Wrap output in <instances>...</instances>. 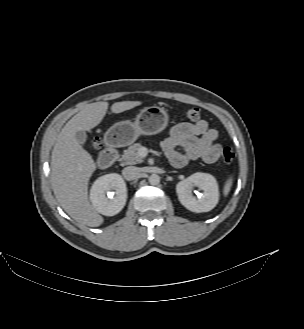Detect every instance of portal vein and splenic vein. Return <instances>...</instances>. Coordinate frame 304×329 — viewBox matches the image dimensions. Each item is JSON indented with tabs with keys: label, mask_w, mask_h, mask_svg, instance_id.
I'll return each mask as SVG.
<instances>
[{
	"label": "portal vein and splenic vein",
	"mask_w": 304,
	"mask_h": 329,
	"mask_svg": "<svg viewBox=\"0 0 304 329\" xmlns=\"http://www.w3.org/2000/svg\"><path fill=\"white\" fill-rule=\"evenodd\" d=\"M147 149L145 148V147H142L140 150H139V152H138V154H139V156L140 157H146L147 156Z\"/></svg>",
	"instance_id": "1"
}]
</instances>
